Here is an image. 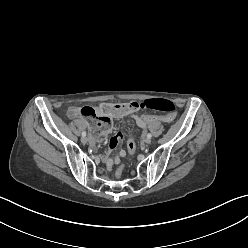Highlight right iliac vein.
Wrapping results in <instances>:
<instances>
[{
    "label": "right iliac vein",
    "mask_w": 248,
    "mask_h": 248,
    "mask_svg": "<svg viewBox=\"0 0 248 248\" xmlns=\"http://www.w3.org/2000/svg\"><path fill=\"white\" fill-rule=\"evenodd\" d=\"M87 141H88V139H87L86 137H82V138H81V142H82L83 144H86Z\"/></svg>",
    "instance_id": "63e3f726"
}]
</instances>
